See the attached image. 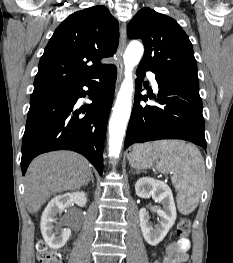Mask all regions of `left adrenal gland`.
<instances>
[{
    "instance_id": "a2214340",
    "label": "left adrenal gland",
    "mask_w": 233,
    "mask_h": 263,
    "mask_svg": "<svg viewBox=\"0 0 233 263\" xmlns=\"http://www.w3.org/2000/svg\"><path fill=\"white\" fill-rule=\"evenodd\" d=\"M139 173H140V171H135V172H134V174H139Z\"/></svg>"
}]
</instances>
